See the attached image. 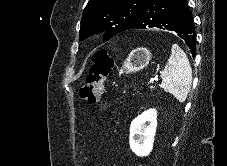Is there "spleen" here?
Segmentation results:
<instances>
[{
    "instance_id": "spleen-1",
    "label": "spleen",
    "mask_w": 227,
    "mask_h": 166,
    "mask_svg": "<svg viewBox=\"0 0 227 166\" xmlns=\"http://www.w3.org/2000/svg\"><path fill=\"white\" fill-rule=\"evenodd\" d=\"M161 87L183 103L190 91L192 84V69L184 51L173 44L171 55L165 69L161 73Z\"/></svg>"
}]
</instances>
